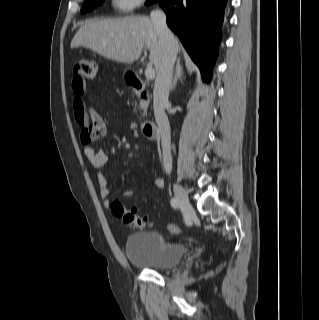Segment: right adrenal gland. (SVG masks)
I'll return each instance as SVG.
<instances>
[{
	"mask_svg": "<svg viewBox=\"0 0 319 320\" xmlns=\"http://www.w3.org/2000/svg\"><path fill=\"white\" fill-rule=\"evenodd\" d=\"M181 59L178 58L176 63V71L171 81V90H174L177 84L178 79H180L183 76V68L180 64Z\"/></svg>",
	"mask_w": 319,
	"mask_h": 320,
	"instance_id": "right-adrenal-gland-1",
	"label": "right adrenal gland"
}]
</instances>
